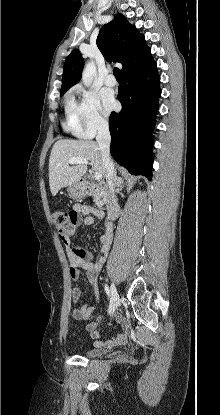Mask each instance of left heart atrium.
Instances as JSON below:
<instances>
[{"mask_svg": "<svg viewBox=\"0 0 220 415\" xmlns=\"http://www.w3.org/2000/svg\"><path fill=\"white\" fill-rule=\"evenodd\" d=\"M103 109L106 114L110 113L116 106V100L113 93L107 90L102 92Z\"/></svg>", "mask_w": 220, "mask_h": 415, "instance_id": "1", "label": "left heart atrium"}]
</instances>
